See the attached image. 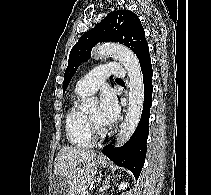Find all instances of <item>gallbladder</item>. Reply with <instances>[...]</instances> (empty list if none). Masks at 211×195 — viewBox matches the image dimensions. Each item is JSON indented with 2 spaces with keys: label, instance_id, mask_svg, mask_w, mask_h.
Instances as JSON below:
<instances>
[{
  "label": "gallbladder",
  "instance_id": "obj_1",
  "mask_svg": "<svg viewBox=\"0 0 211 195\" xmlns=\"http://www.w3.org/2000/svg\"><path fill=\"white\" fill-rule=\"evenodd\" d=\"M52 192H53V195H56V189H55L54 185L52 187Z\"/></svg>",
  "mask_w": 211,
  "mask_h": 195
}]
</instances>
